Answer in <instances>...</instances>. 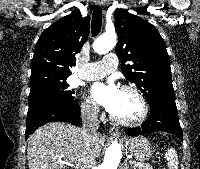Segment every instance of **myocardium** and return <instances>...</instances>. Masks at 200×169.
Returning a JSON list of instances; mask_svg holds the SVG:
<instances>
[{"mask_svg":"<svg viewBox=\"0 0 200 169\" xmlns=\"http://www.w3.org/2000/svg\"><path fill=\"white\" fill-rule=\"evenodd\" d=\"M121 91L131 92L138 98L141 105L140 115L136 119H133V120H124V119L117 118L113 114L110 113V119L114 123L122 125V126H126V127H137L143 124L147 120L148 115H149V110H150L146 97L137 87L131 86V85L122 86Z\"/></svg>","mask_w":200,"mask_h":169,"instance_id":"1","label":"myocardium"}]
</instances>
